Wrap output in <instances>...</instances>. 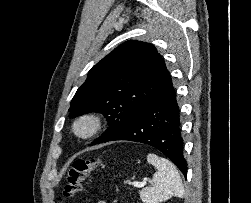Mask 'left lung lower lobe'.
<instances>
[{
  "label": "left lung lower lobe",
  "instance_id": "1",
  "mask_svg": "<svg viewBox=\"0 0 251 203\" xmlns=\"http://www.w3.org/2000/svg\"><path fill=\"white\" fill-rule=\"evenodd\" d=\"M115 140H129L155 147L186 177L187 163L183 154L180 109L169 73L156 95L120 133L108 141Z\"/></svg>",
  "mask_w": 251,
  "mask_h": 203
}]
</instances>
